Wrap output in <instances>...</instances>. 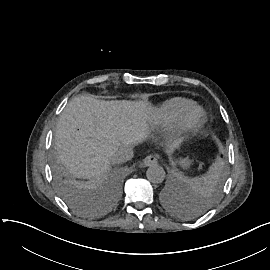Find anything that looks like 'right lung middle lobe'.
I'll list each match as a JSON object with an SVG mask.
<instances>
[{"label": "right lung middle lobe", "mask_w": 270, "mask_h": 270, "mask_svg": "<svg viewBox=\"0 0 270 270\" xmlns=\"http://www.w3.org/2000/svg\"><path fill=\"white\" fill-rule=\"evenodd\" d=\"M56 185L60 196L66 201V203L74 210L83 214H91L92 211L88 209L85 203L80 200L71 188L70 182L60 172H56Z\"/></svg>", "instance_id": "obj_1"}]
</instances>
